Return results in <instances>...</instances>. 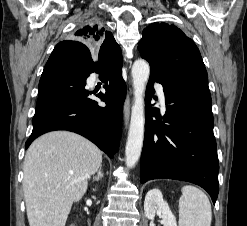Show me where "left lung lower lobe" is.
<instances>
[{"instance_id":"obj_1","label":"left lung lower lobe","mask_w":247,"mask_h":226,"mask_svg":"<svg viewBox=\"0 0 247 226\" xmlns=\"http://www.w3.org/2000/svg\"><path fill=\"white\" fill-rule=\"evenodd\" d=\"M162 84L166 112L150 104L155 90ZM145 136L140 163V181L176 179L204 188L215 204L219 185L217 145L213 134V114L207 76L183 73L163 78L150 73L146 90Z\"/></svg>"}]
</instances>
